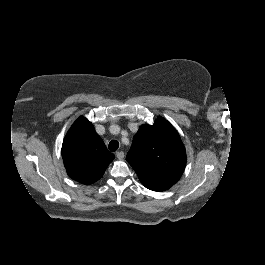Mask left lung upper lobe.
I'll list each match as a JSON object with an SVG mask.
<instances>
[{
    "mask_svg": "<svg viewBox=\"0 0 265 265\" xmlns=\"http://www.w3.org/2000/svg\"><path fill=\"white\" fill-rule=\"evenodd\" d=\"M126 160L146 188L165 191L183 174L186 152L175 128L159 116L153 125L139 128Z\"/></svg>",
    "mask_w": 265,
    "mask_h": 265,
    "instance_id": "1",
    "label": "left lung upper lobe"
}]
</instances>
